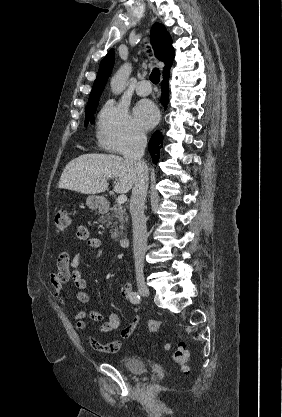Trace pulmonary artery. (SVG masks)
<instances>
[{
	"instance_id": "pulmonary-artery-1",
	"label": "pulmonary artery",
	"mask_w": 282,
	"mask_h": 417,
	"mask_svg": "<svg viewBox=\"0 0 282 417\" xmlns=\"http://www.w3.org/2000/svg\"><path fill=\"white\" fill-rule=\"evenodd\" d=\"M151 86L147 80L140 81L136 86V93L139 96H147L151 93Z\"/></svg>"
}]
</instances>
